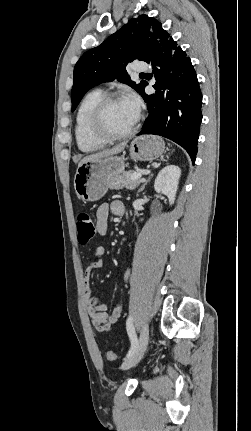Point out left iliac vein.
<instances>
[{
  "label": "left iliac vein",
  "mask_w": 251,
  "mask_h": 431,
  "mask_svg": "<svg viewBox=\"0 0 251 431\" xmlns=\"http://www.w3.org/2000/svg\"><path fill=\"white\" fill-rule=\"evenodd\" d=\"M148 340H149V327H148V324L145 323L142 326L136 350L129 357H127L123 362V364L121 365V368L123 370L130 369L139 363V361L142 359L146 351Z\"/></svg>",
  "instance_id": "1"
}]
</instances>
